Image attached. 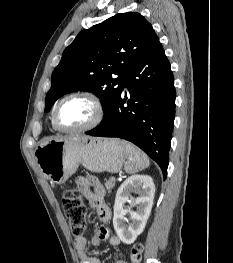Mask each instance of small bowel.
I'll list each match as a JSON object with an SVG mask.
<instances>
[{
  "instance_id": "obj_1",
  "label": "small bowel",
  "mask_w": 233,
  "mask_h": 263,
  "mask_svg": "<svg viewBox=\"0 0 233 263\" xmlns=\"http://www.w3.org/2000/svg\"><path fill=\"white\" fill-rule=\"evenodd\" d=\"M77 186L82 191L89 205L96 210L98 218L102 222H108L111 218L110 208L105 203L106 192L99 180L95 177L84 178L77 180ZM93 188V191L91 190ZM102 241H107L112 246L120 244L119 237L111 235L110 231L105 227L95 229L91 240L82 236L74 241L75 249L80 258V263H101V261L88 253L89 243L93 247H97ZM114 263H128L123 258L117 259Z\"/></svg>"
}]
</instances>
